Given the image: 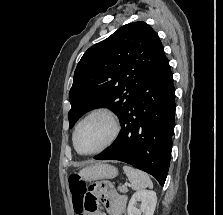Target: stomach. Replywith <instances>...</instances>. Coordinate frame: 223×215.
I'll use <instances>...</instances> for the list:
<instances>
[{
    "label": "stomach",
    "mask_w": 223,
    "mask_h": 215,
    "mask_svg": "<svg viewBox=\"0 0 223 215\" xmlns=\"http://www.w3.org/2000/svg\"><path fill=\"white\" fill-rule=\"evenodd\" d=\"M117 173V167L110 163H93V165L80 169L78 175L84 181H95V179H112V177H116Z\"/></svg>",
    "instance_id": "0dacf381"
}]
</instances>
